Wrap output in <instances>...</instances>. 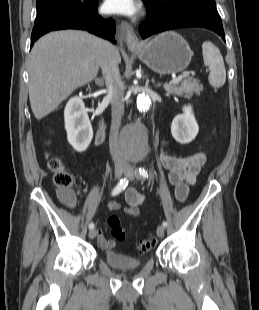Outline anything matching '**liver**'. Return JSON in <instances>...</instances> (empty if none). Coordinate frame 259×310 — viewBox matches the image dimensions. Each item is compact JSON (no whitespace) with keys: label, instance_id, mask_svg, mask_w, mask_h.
<instances>
[{"label":"liver","instance_id":"6515ba94","mask_svg":"<svg viewBox=\"0 0 259 310\" xmlns=\"http://www.w3.org/2000/svg\"><path fill=\"white\" fill-rule=\"evenodd\" d=\"M110 44L84 31L51 32L40 38L29 57V99L40 120L53 112L77 88L97 75ZM118 63L121 57L113 50Z\"/></svg>","mask_w":259,"mask_h":310}]
</instances>
